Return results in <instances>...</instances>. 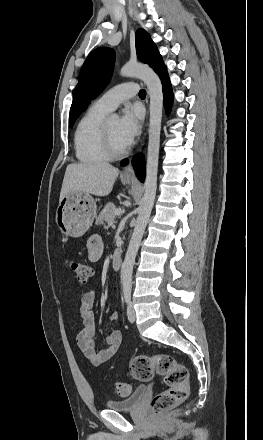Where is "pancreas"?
I'll use <instances>...</instances> for the list:
<instances>
[{"label":"pancreas","mask_w":263,"mask_h":440,"mask_svg":"<svg viewBox=\"0 0 263 440\" xmlns=\"http://www.w3.org/2000/svg\"><path fill=\"white\" fill-rule=\"evenodd\" d=\"M116 210L118 209L115 207L114 204L108 203L96 219V225H104L105 228L112 225L116 216ZM105 223H107V226L105 225ZM117 251H119V249Z\"/></svg>","instance_id":"pancreas-1"}]
</instances>
